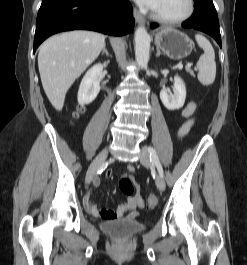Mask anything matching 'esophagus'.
I'll list each match as a JSON object with an SVG mask.
<instances>
[{
  "instance_id": "34e87169",
  "label": "esophagus",
  "mask_w": 247,
  "mask_h": 265,
  "mask_svg": "<svg viewBox=\"0 0 247 265\" xmlns=\"http://www.w3.org/2000/svg\"><path fill=\"white\" fill-rule=\"evenodd\" d=\"M134 18L139 25L144 26L146 24L145 18L137 9H134Z\"/></svg>"
}]
</instances>
